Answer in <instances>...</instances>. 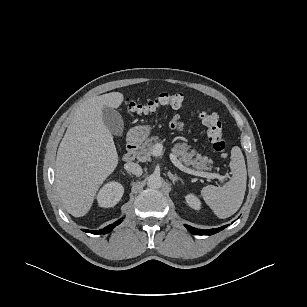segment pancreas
<instances>
[{"label":"pancreas","mask_w":307,"mask_h":307,"mask_svg":"<svg viewBox=\"0 0 307 307\" xmlns=\"http://www.w3.org/2000/svg\"><path fill=\"white\" fill-rule=\"evenodd\" d=\"M160 139L157 136H152L145 140V142L139 147L137 152V159L141 162L150 160L152 155L153 147L158 143ZM190 146L186 143H176L172 148V152L183 162L186 166H192L197 170H208L210 169L209 164L212 163L211 159L206 156L197 154L194 150L189 151ZM196 156L195 158H193Z\"/></svg>","instance_id":"1"}]
</instances>
